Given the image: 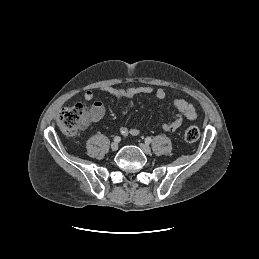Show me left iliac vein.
Here are the masks:
<instances>
[{"label":"left iliac vein","instance_id":"obj_1","mask_svg":"<svg viewBox=\"0 0 259 259\" xmlns=\"http://www.w3.org/2000/svg\"><path fill=\"white\" fill-rule=\"evenodd\" d=\"M139 146L145 154H151V148L148 144L140 143Z\"/></svg>","mask_w":259,"mask_h":259}]
</instances>
